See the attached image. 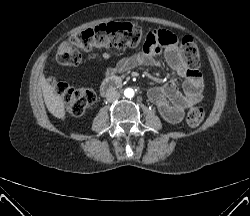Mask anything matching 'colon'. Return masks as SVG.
Wrapping results in <instances>:
<instances>
[{"label":"colon","instance_id":"obj_1","mask_svg":"<svg viewBox=\"0 0 250 216\" xmlns=\"http://www.w3.org/2000/svg\"><path fill=\"white\" fill-rule=\"evenodd\" d=\"M144 37L140 26L130 22H109L72 35L60 44L57 59L65 65H78L81 62V50L92 48H134L142 43ZM180 56L184 66L196 70L200 64L197 45L191 37H184L180 42ZM55 92L63 99L66 110L73 116L82 115L95 101L96 95L89 88H74L65 82L50 79ZM205 116L202 106L192 108L187 115V123L196 127Z\"/></svg>","mask_w":250,"mask_h":216}]
</instances>
